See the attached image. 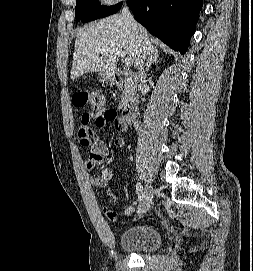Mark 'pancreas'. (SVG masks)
Here are the masks:
<instances>
[{
  "instance_id": "cf45deb5",
  "label": "pancreas",
  "mask_w": 253,
  "mask_h": 271,
  "mask_svg": "<svg viewBox=\"0 0 253 271\" xmlns=\"http://www.w3.org/2000/svg\"><path fill=\"white\" fill-rule=\"evenodd\" d=\"M133 94V86L132 83H126L124 86V91L122 92L120 98V106L123 107L125 106L128 101L130 100V98L132 97Z\"/></svg>"
}]
</instances>
